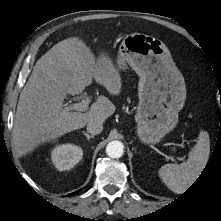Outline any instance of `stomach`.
Returning a JSON list of instances; mask_svg holds the SVG:
<instances>
[{"mask_svg":"<svg viewBox=\"0 0 221 221\" xmlns=\"http://www.w3.org/2000/svg\"><path fill=\"white\" fill-rule=\"evenodd\" d=\"M117 65H129L139 76L137 135L145 144L159 143L178 123L186 99L184 77L166 45L154 37L127 35L118 51Z\"/></svg>","mask_w":221,"mask_h":221,"instance_id":"1","label":"stomach"}]
</instances>
